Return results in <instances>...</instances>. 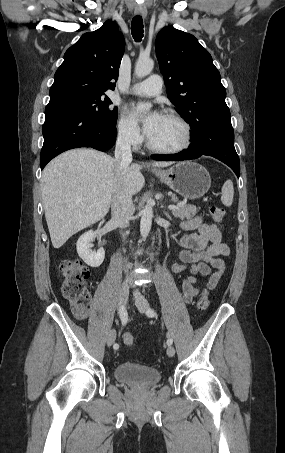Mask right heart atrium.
Masks as SVG:
<instances>
[{
  "mask_svg": "<svg viewBox=\"0 0 285 453\" xmlns=\"http://www.w3.org/2000/svg\"><path fill=\"white\" fill-rule=\"evenodd\" d=\"M117 136L119 141L132 148L140 146L143 136L138 124L126 113H122L117 121Z\"/></svg>",
  "mask_w": 285,
  "mask_h": 453,
  "instance_id": "right-heart-atrium-1",
  "label": "right heart atrium"
}]
</instances>
